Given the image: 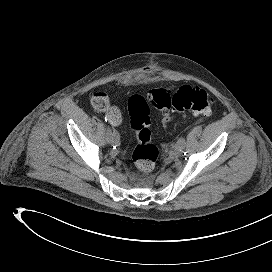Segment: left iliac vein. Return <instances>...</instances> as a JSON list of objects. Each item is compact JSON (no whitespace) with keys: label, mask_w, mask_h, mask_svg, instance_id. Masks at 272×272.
<instances>
[{"label":"left iliac vein","mask_w":272,"mask_h":272,"mask_svg":"<svg viewBox=\"0 0 272 272\" xmlns=\"http://www.w3.org/2000/svg\"><path fill=\"white\" fill-rule=\"evenodd\" d=\"M181 152H180V148L178 145H175L173 151H172V154L174 155H179Z\"/></svg>","instance_id":"4c4485c4"}]
</instances>
